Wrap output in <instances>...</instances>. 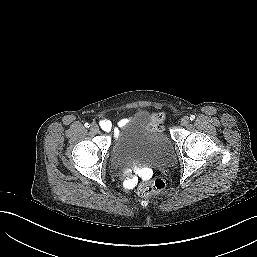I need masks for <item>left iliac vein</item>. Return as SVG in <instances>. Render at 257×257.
I'll list each match as a JSON object with an SVG mask.
<instances>
[{"label":"left iliac vein","mask_w":257,"mask_h":257,"mask_svg":"<svg viewBox=\"0 0 257 257\" xmlns=\"http://www.w3.org/2000/svg\"><path fill=\"white\" fill-rule=\"evenodd\" d=\"M189 122H190V119H189L188 116H184V117L181 119V121H180V123H181L182 126L188 125Z\"/></svg>","instance_id":"1"}]
</instances>
